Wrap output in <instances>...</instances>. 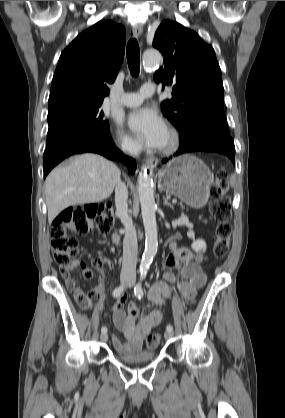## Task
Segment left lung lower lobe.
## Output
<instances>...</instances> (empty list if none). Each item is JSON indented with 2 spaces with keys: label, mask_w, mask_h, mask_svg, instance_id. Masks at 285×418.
<instances>
[{
  "label": "left lung lower lobe",
  "mask_w": 285,
  "mask_h": 418,
  "mask_svg": "<svg viewBox=\"0 0 285 418\" xmlns=\"http://www.w3.org/2000/svg\"><path fill=\"white\" fill-rule=\"evenodd\" d=\"M193 151L221 153L227 156L233 163L235 160V146L232 138L220 133L203 134L187 143L180 144V147L174 156ZM166 161L167 159H164L163 163Z\"/></svg>",
  "instance_id": "1"
}]
</instances>
